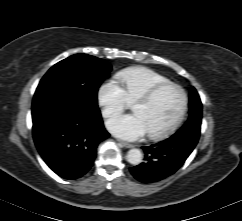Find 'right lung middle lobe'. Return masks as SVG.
<instances>
[{
  "mask_svg": "<svg viewBox=\"0 0 242 221\" xmlns=\"http://www.w3.org/2000/svg\"><path fill=\"white\" fill-rule=\"evenodd\" d=\"M111 65L87 54L72 55L55 64L41 79L32 109L44 103L69 100L75 108L98 109L97 92Z\"/></svg>",
  "mask_w": 242,
  "mask_h": 221,
  "instance_id": "right-lung-middle-lobe-1",
  "label": "right lung middle lobe"
}]
</instances>
